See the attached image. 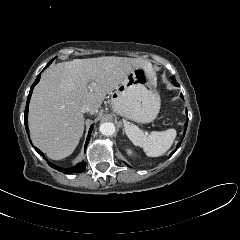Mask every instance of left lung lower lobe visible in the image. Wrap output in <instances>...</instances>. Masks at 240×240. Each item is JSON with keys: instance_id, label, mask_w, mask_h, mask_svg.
I'll return each instance as SVG.
<instances>
[{"instance_id": "left-lung-lower-lobe-1", "label": "left lung lower lobe", "mask_w": 240, "mask_h": 240, "mask_svg": "<svg viewBox=\"0 0 240 240\" xmlns=\"http://www.w3.org/2000/svg\"><path fill=\"white\" fill-rule=\"evenodd\" d=\"M172 78V83L175 85V86H179L178 83L176 82L175 78L174 77H171ZM181 98L183 99V95L181 94ZM187 113V112H186ZM187 123L188 121L185 123V128H187ZM185 132H186V129H185ZM185 132H184V135H185ZM181 142L177 144V147L176 149L170 154V156L179 148Z\"/></svg>"}]
</instances>
